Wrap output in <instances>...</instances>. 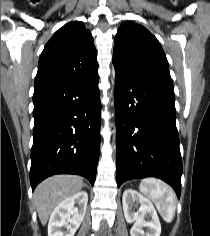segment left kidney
<instances>
[{
    "label": "left kidney",
    "mask_w": 210,
    "mask_h": 236,
    "mask_svg": "<svg viewBox=\"0 0 210 236\" xmlns=\"http://www.w3.org/2000/svg\"><path fill=\"white\" fill-rule=\"evenodd\" d=\"M135 202L140 205L137 212L132 209ZM122 204L126 221L134 222L130 230L131 236H160V221L153 204L148 199L133 189H126L123 193ZM145 216L148 217V221L144 219ZM145 227L147 231H144Z\"/></svg>",
    "instance_id": "obj_1"
}]
</instances>
